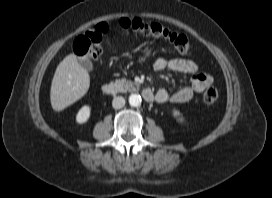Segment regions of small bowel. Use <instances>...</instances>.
Here are the masks:
<instances>
[{"label": "small bowel", "mask_w": 272, "mask_h": 198, "mask_svg": "<svg viewBox=\"0 0 272 198\" xmlns=\"http://www.w3.org/2000/svg\"><path fill=\"white\" fill-rule=\"evenodd\" d=\"M154 68L159 71L170 70L190 76V83L183 86L174 93L165 89L156 92L155 100L158 103H185L192 99L195 93H201L212 86L214 79L211 75L199 72L197 64L191 60L181 57L166 59L159 57L155 60Z\"/></svg>", "instance_id": "1"}]
</instances>
